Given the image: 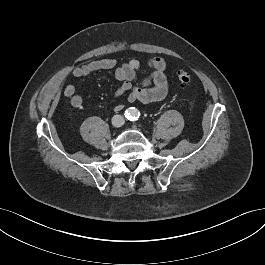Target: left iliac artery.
Returning a JSON list of instances; mask_svg holds the SVG:
<instances>
[{
  "mask_svg": "<svg viewBox=\"0 0 265 265\" xmlns=\"http://www.w3.org/2000/svg\"><path fill=\"white\" fill-rule=\"evenodd\" d=\"M139 115H140V114H139V112H138V114L136 115V117L134 116V117L131 118L130 120H131V121H133V120H137V119L139 118Z\"/></svg>",
  "mask_w": 265,
  "mask_h": 265,
  "instance_id": "obj_1",
  "label": "left iliac artery"
}]
</instances>
